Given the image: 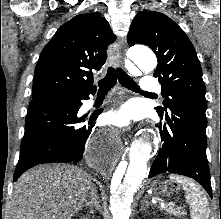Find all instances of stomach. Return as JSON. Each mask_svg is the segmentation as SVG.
<instances>
[{
    "label": "stomach",
    "instance_id": "obj_1",
    "mask_svg": "<svg viewBox=\"0 0 221 219\" xmlns=\"http://www.w3.org/2000/svg\"><path fill=\"white\" fill-rule=\"evenodd\" d=\"M166 182L154 181L152 189L156 191V195H177V190H165Z\"/></svg>",
    "mask_w": 221,
    "mask_h": 219
}]
</instances>
